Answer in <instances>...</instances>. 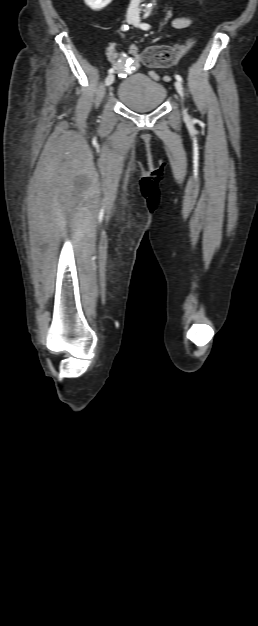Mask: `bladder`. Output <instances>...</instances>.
<instances>
[{"label":"bladder","instance_id":"bladder-1","mask_svg":"<svg viewBox=\"0 0 258 626\" xmlns=\"http://www.w3.org/2000/svg\"><path fill=\"white\" fill-rule=\"evenodd\" d=\"M117 97L129 110L145 113L162 106L167 91L161 83L147 75H132L120 82Z\"/></svg>","mask_w":258,"mask_h":626}]
</instances>
